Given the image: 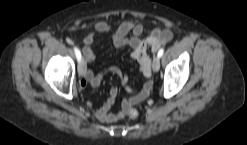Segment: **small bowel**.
<instances>
[{"label":"small bowel","mask_w":247,"mask_h":145,"mask_svg":"<svg viewBox=\"0 0 247 145\" xmlns=\"http://www.w3.org/2000/svg\"><path fill=\"white\" fill-rule=\"evenodd\" d=\"M110 31L111 26L107 22L97 21L95 23L94 31L89 33L84 40L83 56L86 63H90L95 59L93 44L96 35ZM172 36L173 34L170 29H162L159 27L145 32L143 25L135 20H126L118 26L112 36L113 45L116 48L128 47L131 49V57L138 63L139 69L147 81L141 90L134 91L129 84L128 75L122 73L117 67H109L96 74L89 69L86 70L84 79L80 82L81 90H84L88 84L93 87H98L107 74H112L120 78L121 84L129 94V96L123 100L121 110L110 113V109L114 105L118 95V88L112 86L107 100L100 108L94 110L98 120L107 123L117 122L124 118L126 110L130 106L138 104L148 97L153 86L151 80V59L148 48L156 51L163 44L169 42Z\"/></svg>","instance_id":"c3829d8e"}]
</instances>
